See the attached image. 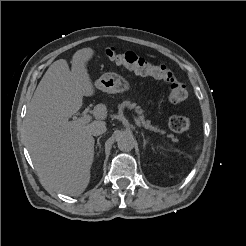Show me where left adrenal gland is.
<instances>
[{"mask_svg": "<svg viewBox=\"0 0 246 246\" xmlns=\"http://www.w3.org/2000/svg\"><path fill=\"white\" fill-rule=\"evenodd\" d=\"M142 137H143V146L144 148L146 147V144H147V140L145 139V136L143 134V132L141 133Z\"/></svg>", "mask_w": 246, "mask_h": 246, "instance_id": "left-adrenal-gland-1", "label": "left adrenal gland"}]
</instances>
